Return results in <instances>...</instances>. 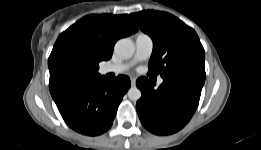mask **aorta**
I'll return each instance as SVG.
<instances>
[{"label": "aorta", "instance_id": "obj_1", "mask_svg": "<svg viewBox=\"0 0 261 150\" xmlns=\"http://www.w3.org/2000/svg\"><path fill=\"white\" fill-rule=\"evenodd\" d=\"M114 51L120 58L129 59L135 52V46L130 39L124 38L116 42ZM127 95L130 100L137 101L141 97V91L137 87H131Z\"/></svg>", "mask_w": 261, "mask_h": 150}]
</instances>
